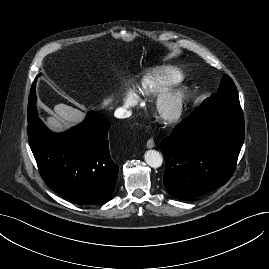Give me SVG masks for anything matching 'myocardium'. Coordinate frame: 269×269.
Here are the masks:
<instances>
[{
    "label": "myocardium",
    "mask_w": 269,
    "mask_h": 269,
    "mask_svg": "<svg viewBox=\"0 0 269 269\" xmlns=\"http://www.w3.org/2000/svg\"><path fill=\"white\" fill-rule=\"evenodd\" d=\"M187 96L183 90H170L161 93L152 103L156 118L163 124L178 122L184 114Z\"/></svg>",
    "instance_id": "obj_1"
}]
</instances>
